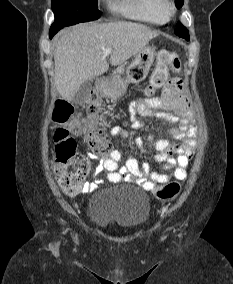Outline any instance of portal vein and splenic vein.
Wrapping results in <instances>:
<instances>
[{"instance_id": "obj_1", "label": "portal vein and splenic vein", "mask_w": 233, "mask_h": 284, "mask_svg": "<svg viewBox=\"0 0 233 284\" xmlns=\"http://www.w3.org/2000/svg\"><path fill=\"white\" fill-rule=\"evenodd\" d=\"M111 52H112V49H111V48H106V49H105V53H106V54H110Z\"/></svg>"}]
</instances>
